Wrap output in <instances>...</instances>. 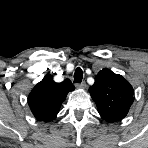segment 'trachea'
I'll use <instances>...</instances> for the list:
<instances>
[{"label":"trachea","mask_w":148,"mask_h":148,"mask_svg":"<svg viewBox=\"0 0 148 148\" xmlns=\"http://www.w3.org/2000/svg\"><path fill=\"white\" fill-rule=\"evenodd\" d=\"M83 79V71L80 67L76 68L74 73V83H81Z\"/></svg>","instance_id":"obj_1"}]
</instances>
